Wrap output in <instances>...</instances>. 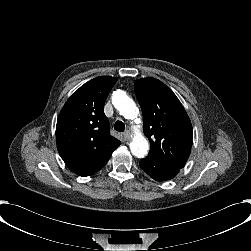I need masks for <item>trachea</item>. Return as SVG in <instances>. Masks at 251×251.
Returning <instances> with one entry per match:
<instances>
[{"instance_id":"3493384b","label":"trachea","mask_w":251,"mask_h":251,"mask_svg":"<svg viewBox=\"0 0 251 251\" xmlns=\"http://www.w3.org/2000/svg\"><path fill=\"white\" fill-rule=\"evenodd\" d=\"M114 129L118 132H124L125 130V125L122 121H117L115 124H114Z\"/></svg>"}]
</instances>
